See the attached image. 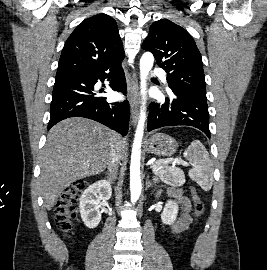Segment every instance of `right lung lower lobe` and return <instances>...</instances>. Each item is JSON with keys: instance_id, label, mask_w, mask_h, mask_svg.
<instances>
[{"instance_id": "obj_1", "label": "right lung lower lobe", "mask_w": 267, "mask_h": 270, "mask_svg": "<svg viewBox=\"0 0 267 270\" xmlns=\"http://www.w3.org/2000/svg\"><path fill=\"white\" fill-rule=\"evenodd\" d=\"M122 60L87 71L56 75L48 129L61 120L77 116L98 121L126 135L129 124L128 102L108 103L106 97L97 96L94 92V84L107 78L112 90L126 94Z\"/></svg>"}]
</instances>
